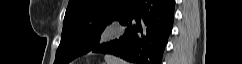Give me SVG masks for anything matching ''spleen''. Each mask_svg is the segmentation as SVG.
<instances>
[{
    "mask_svg": "<svg viewBox=\"0 0 242 64\" xmlns=\"http://www.w3.org/2000/svg\"><path fill=\"white\" fill-rule=\"evenodd\" d=\"M105 61L107 64H128L127 62L123 61L122 59H119L112 55H106Z\"/></svg>",
    "mask_w": 242,
    "mask_h": 64,
    "instance_id": "3e777b00",
    "label": "spleen"
}]
</instances>
